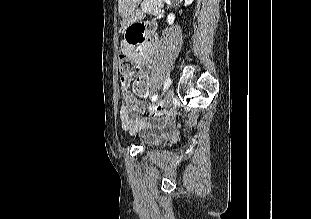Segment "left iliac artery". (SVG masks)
Returning a JSON list of instances; mask_svg holds the SVG:
<instances>
[{"mask_svg":"<svg viewBox=\"0 0 311 219\" xmlns=\"http://www.w3.org/2000/svg\"><path fill=\"white\" fill-rule=\"evenodd\" d=\"M171 83H172V81H171L170 78H167L165 80V82H164V91L167 90L170 87Z\"/></svg>","mask_w":311,"mask_h":219,"instance_id":"left-iliac-artery-1","label":"left iliac artery"}]
</instances>
